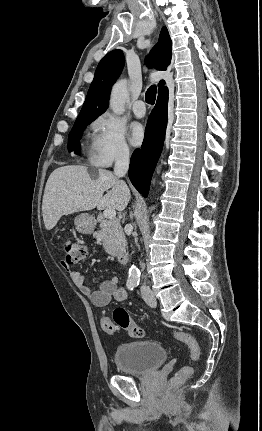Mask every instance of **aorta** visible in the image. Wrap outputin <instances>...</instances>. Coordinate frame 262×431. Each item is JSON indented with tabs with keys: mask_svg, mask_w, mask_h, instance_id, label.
I'll return each mask as SVG.
<instances>
[{
	"mask_svg": "<svg viewBox=\"0 0 262 431\" xmlns=\"http://www.w3.org/2000/svg\"><path fill=\"white\" fill-rule=\"evenodd\" d=\"M128 97L127 80L123 79L116 82L111 90L109 106L112 111L121 115L125 111V102ZM140 278L139 269L133 264L129 269L128 281L136 284Z\"/></svg>",
	"mask_w": 262,
	"mask_h": 431,
	"instance_id": "762f6f07",
	"label": "aorta"
}]
</instances>
